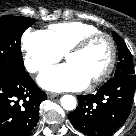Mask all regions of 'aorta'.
I'll return each instance as SVG.
<instances>
[{"mask_svg": "<svg viewBox=\"0 0 136 136\" xmlns=\"http://www.w3.org/2000/svg\"><path fill=\"white\" fill-rule=\"evenodd\" d=\"M76 98L72 95H64L61 98V106L68 111L76 108Z\"/></svg>", "mask_w": 136, "mask_h": 136, "instance_id": "obj_1", "label": "aorta"}]
</instances>
